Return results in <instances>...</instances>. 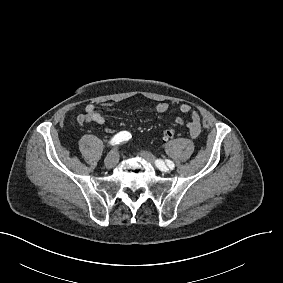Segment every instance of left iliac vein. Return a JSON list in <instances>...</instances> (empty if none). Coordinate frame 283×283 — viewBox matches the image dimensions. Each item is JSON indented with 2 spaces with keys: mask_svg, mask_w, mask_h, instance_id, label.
<instances>
[{
  "mask_svg": "<svg viewBox=\"0 0 283 283\" xmlns=\"http://www.w3.org/2000/svg\"><path fill=\"white\" fill-rule=\"evenodd\" d=\"M141 156L143 158H145L148 162L156 163V165H157V161L155 160L154 156L152 154H150L149 152L143 150V151H141ZM157 167L164 172L169 171V168L167 166H165L164 163H161V165L157 166Z\"/></svg>",
  "mask_w": 283,
  "mask_h": 283,
  "instance_id": "obj_1",
  "label": "left iliac vein"
}]
</instances>
